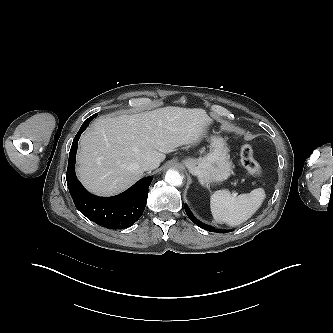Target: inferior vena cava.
Segmentation results:
<instances>
[{
  "label": "inferior vena cava",
  "instance_id": "inferior-vena-cava-1",
  "mask_svg": "<svg viewBox=\"0 0 333 333\" xmlns=\"http://www.w3.org/2000/svg\"><path fill=\"white\" fill-rule=\"evenodd\" d=\"M159 166V162L155 159H147L141 163V167L144 171L153 170Z\"/></svg>",
  "mask_w": 333,
  "mask_h": 333
}]
</instances>
